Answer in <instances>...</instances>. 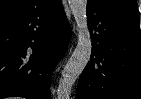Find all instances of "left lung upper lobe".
Here are the masks:
<instances>
[{"mask_svg":"<svg viewBox=\"0 0 141 99\" xmlns=\"http://www.w3.org/2000/svg\"><path fill=\"white\" fill-rule=\"evenodd\" d=\"M94 4L112 12L118 13H138L136 0H88Z\"/></svg>","mask_w":141,"mask_h":99,"instance_id":"obj_1","label":"left lung upper lobe"}]
</instances>
